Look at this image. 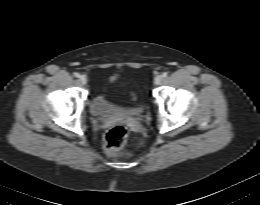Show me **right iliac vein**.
<instances>
[{
    "mask_svg": "<svg viewBox=\"0 0 260 205\" xmlns=\"http://www.w3.org/2000/svg\"><path fill=\"white\" fill-rule=\"evenodd\" d=\"M79 81H80V83L81 84H83V85H85L86 83H87V78H86V76H80L79 77Z\"/></svg>",
    "mask_w": 260,
    "mask_h": 205,
    "instance_id": "obj_1",
    "label": "right iliac vein"
}]
</instances>
